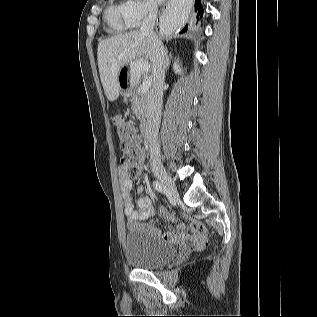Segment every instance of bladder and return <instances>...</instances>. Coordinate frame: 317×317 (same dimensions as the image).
<instances>
[{
    "mask_svg": "<svg viewBox=\"0 0 317 317\" xmlns=\"http://www.w3.org/2000/svg\"><path fill=\"white\" fill-rule=\"evenodd\" d=\"M178 253L175 245L158 240L144 227L131 228L124 238L125 260L137 269H159L174 260Z\"/></svg>",
    "mask_w": 317,
    "mask_h": 317,
    "instance_id": "1",
    "label": "bladder"
}]
</instances>
